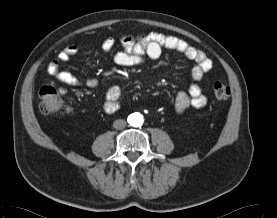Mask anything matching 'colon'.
Masks as SVG:
<instances>
[{
    "instance_id": "1",
    "label": "colon",
    "mask_w": 277,
    "mask_h": 218,
    "mask_svg": "<svg viewBox=\"0 0 277 218\" xmlns=\"http://www.w3.org/2000/svg\"><path fill=\"white\" fill-rule=\"evenodd\" d=\"M215 94L218 98L226 100L230 97V87L222 82L214 84ZM40 110L44 114H55L59 110V96L55 88L51 86L42 87L40 90Z\"/></svg>"
}]
</instances>
